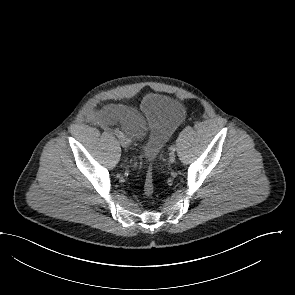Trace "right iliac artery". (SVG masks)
I'll list each match as a JSON object with an SVG mask.
<instances>
[{
  "instance_id": "1",
  "label": "right iliac artery",
  "mask_w": 295,
  "mask_h": 295,
  "mask_svg": "<svg viewBox=\"0 0 295 295\" xmlns=\"http://www.w3.org/2000/svg\"><path fill=\"white\" fill-rule=\"evenodd\" d=\"M115 134H116V136L118 138H122L123 137V133L121 131H119V130H117Z\"/></svg>"
}]
</instances>
